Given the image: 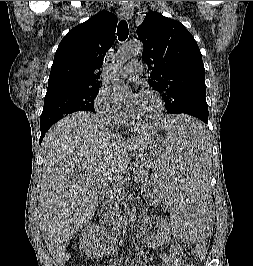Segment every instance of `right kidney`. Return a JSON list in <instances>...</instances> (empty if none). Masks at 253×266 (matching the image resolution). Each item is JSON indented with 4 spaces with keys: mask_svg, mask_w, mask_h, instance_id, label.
Wrapping results in <instances>:
<instances>
[{
    "mask_svg": "<svg viewBox=\"0 0 253 266\" xmlns=\"http://www.w3.org/2000/svg\"><path fill=\"white\" fill-rule=\"evenodd\" d=\"M107 235L105 227L90 224L80 234V247L88 257H103L107 253Z\"/></svg>",
    "mask_w": 253,
    "mask_h": 266,
    "instance_id": "ca27d5eb",
    "label": "right kidney"
}]
</instances>
